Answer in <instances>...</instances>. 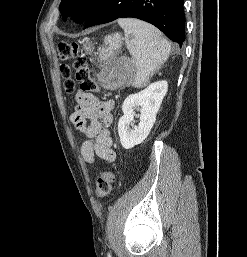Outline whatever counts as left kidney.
Returning a JSON list of instances; mask_svg holds the SVG:
<instances>
[{"label": "left kidney", "instance_id": "left-kidney-1", "mask_svg": "<svg viewBox=\"0 0 247 257\" xmlns=\"http://www.w3.org/2000/svg\"><path fill=\"white\" fill-rule=\"evenodd\" d=\"M167 90V81H158L125 99L122 105L123 116L118 122V134L123 148L131 149L147 138ZM139 108L140 114L137 116L135 110ZM134 117L139 118V123L131 129Z\"/></svg>", "mask_w": 247, "mask_h": 257}]
</instances>
